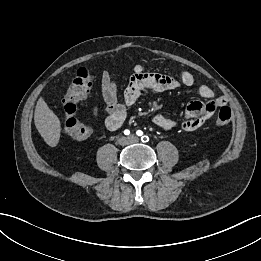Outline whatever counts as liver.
I'll list each match as a JSON object with an SVG mask.
<instances>
[{
    "label": "liver",
    "instance_id": "6515ba94",
    "mask_svg": "<svg viewBox=\"0 0 261 261\" xmlns=\"http://www.w3.org/2000/svg\"><path fill=\"white\" fill-rule=\"evenodd\" d=\"M34 123L44 141L49 146L55 147L60 139L61 123L57 115L48 107L43 97H40L37 101Z\"/></svg>",
    "mask_w": 261,
    "mask_h": 261
}]
</instances>
